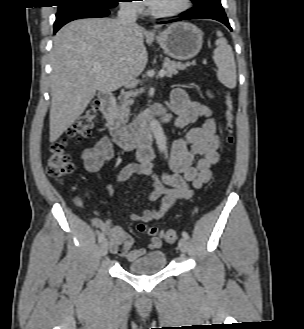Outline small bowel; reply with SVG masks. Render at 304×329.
Wrapping results in <instances>:
<instances>
[{
	"label": "small bowel",
	"mask_w": 304,
	"mask_h": 329,
	"mask_svg": "<svg viewBox=\"0 0 304 329\" xmlns=\"http://www.w3.org/2000/svg\"><path fill=\"white\" fill-rule=\"evenodd\" d=\"M170 105L174 112L173 122L178 127L188 126L200 117L205 118V121L200 127L187 130L174 141L169 160L172 173L155 176L148 200L154 202L164 196L160 209L151 208L133 213L131 219L134 221L158 220L171 209L177 199L190 198V185L200 188L207 183L211 178V166L219 161L220 138L209 108L190 100L181 88L172 90ZM113 156V145L107 135L99 138L93 146L85 148L80 155L85 170L97 174L110 197L114 195L113 186L104 179L101 168L104 163L110 162ZM151 169L152 164L144 160L131 164L120 171L118 183H124L135 172L150 173ZM90 222L107 236L110 252L127 261H132L148 251H155L162 245L161 240L155 237L150 240L147 248L132 249L133 238L121 226L110 220L103 221L97 216L91 218Z\"/></svg>",
	"instance_id": "small-bowel-1"
}]
</instances>
